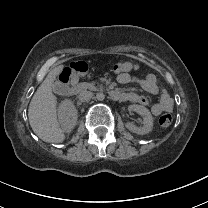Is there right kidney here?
Segmentation results:
<instances>
[{"label": "right kidney", "instance_id": "1", "mask_svg": "<svg viewBox=\"0 0 208 208\" xmlns=\"http://www.w3.org/2000/svg\"><path fill=\"white\" fill-rule=\"evenodd\" d=\"M58 118L64 132H70L75 127L78 113L71 100L61 101L58 107Z\"/></svg>", "mask_w": 208, "mask_h": 208}]
</instances>
